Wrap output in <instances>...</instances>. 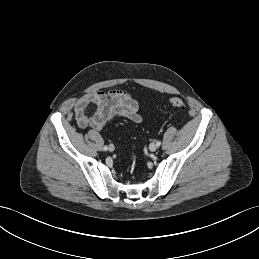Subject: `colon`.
<instances>
[{"label":"colon","mask_w":259,"mask_h":259,"mask_svg":"<svg viewBox=\"0 0 259 259\" xmlns=\"http://www.w3.org/2000/svg\"><path fill=\"white\" fill-rule=\"evenodd\" d=\"M170 104L172 107L179 109V110H183L186 107L184 101L180 98H172L170 100Z\"/></svg>","instance_id":"colon-1"}]
</instances>
